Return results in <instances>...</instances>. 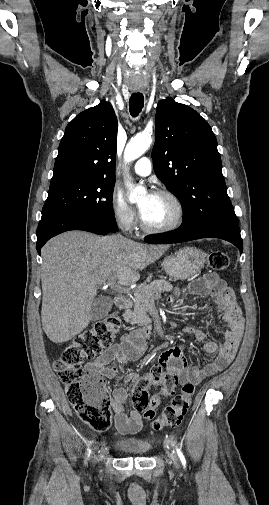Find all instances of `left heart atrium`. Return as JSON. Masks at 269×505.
<instances>
[{
  "instance_id": "left-heart-atrium-1",
  "label": "left heart atrium",
  "mask_w": 269,
  "mask_h": 505,
  "mask_svg": "<svg viewBox=\"0 0 269 505\" xmlns=\"http://www.w3.org/2000/svg\"><path fill=\"white\" fill-rule=\"evenodd\" d=\"M155 194L154 193H149L147 196H146V199H147V203H149L150 201H152V199L154 198ZM146 205L145 206H141L140 207V212L141 214L143 215L144 212L146 211Z\"/></svg>"
}]
</instances>
